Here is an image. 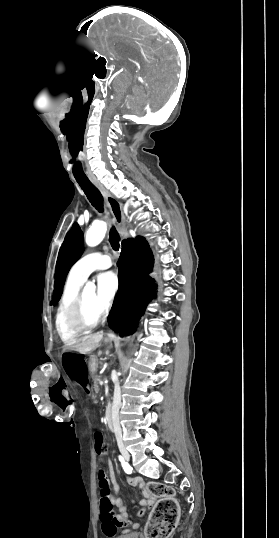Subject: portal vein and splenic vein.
<instances>
[{
	"instance_id": "portal-vein-and-splenic-vein-1",
	"label": "portal vein and splenic vein",
	"mask_w": 279,
	"mask_h": 538,
	"mask_svg": "<svg viewBox=\"0 0 279 538\" xmlns=\"http://www.w3.org/2000/svg\"><path fill=\"white\" fill-rule=\"evenodd\" d=\"M104 383H105V380H101V385H104Z\"/></svg>"
}]
</instances>
